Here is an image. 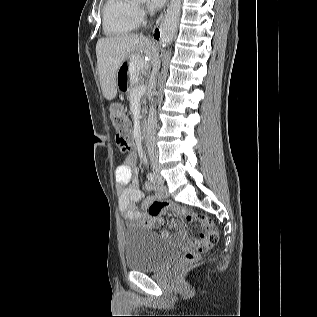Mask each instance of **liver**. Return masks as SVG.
<instances>
[{"label":"liver","mask_w":317,"mask_h":317,"mask_svg":"<svg viewBox=\"0 0 317 317\" xmlns=\"http://www.w3.org/2000/svg\"><path fill=\"white\" fill-rule=\"evenodd\" d=\"M155 44L138 34H122L101 38L96 44L97 70L103 96L113 100L117 94L116 77L121 64L130 56L136 60L137 68L149 64L142 58L145 54L154 64Z\"/></svg>","instance_id":"obj_1"}]
</instances>
